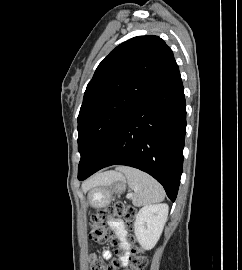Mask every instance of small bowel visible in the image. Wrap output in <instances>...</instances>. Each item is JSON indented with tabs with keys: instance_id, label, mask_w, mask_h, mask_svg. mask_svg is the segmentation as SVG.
Masks as SVG:
<instances>
[{
	"instance_id": "c3829d8e",
	"label": "small bowel",
	"mask_w": 242,
	"mask_h": 270,
	"mask_svg": "<svg viewBox=\"0 0 242 270\" xmlns=\"http://www.w3.org/2000/svg\"><path fill=\"white\" fill-rule=\"evenodd\" d=\"M110 227L112 228V230L114 231V233L116 234V236L118 237L119 241H120V245L121 248L123 249H128V242H127V228L124 224L123 221L119 220V219H112L110 222ZM103 257L106 260H109L111 258V252L109 250H104L103 251ZM123 261L124 263H126L127 261V257H123Z\"/></svg>"
}]
</instances>
